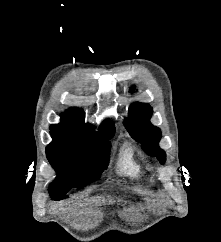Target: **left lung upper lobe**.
Listing matches in <instances>:
<instances>
[{
  "mask_svg": "<svg viewBox=\"0 0 221 242\" xmlns=\"http://www.w3.org/2000/svg\"><path fill=\"white\" fill-rule=\"evenodd\" d=\"M152 108L145 103L136 102L129 109V117L125 127L131 136L142 144V149L151 156H156L160 163L165 162V153L158 143L161 131L150 122Z\"/></svg>",
  "mask_w": 221,
  "mask_h": 242,
  "instance_id": "left-lung-upper-lobe-1",
  "label": "left lung upper lobe"
}]
</instances>
